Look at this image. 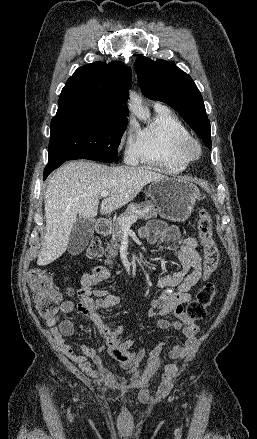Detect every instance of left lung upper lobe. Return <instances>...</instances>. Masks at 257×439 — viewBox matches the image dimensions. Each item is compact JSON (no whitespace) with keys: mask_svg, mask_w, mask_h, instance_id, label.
<instances>
[{"mask_svg":"<svg viewBox=\"0 0 257 439\" xmlns=\"http://www.w3.org/2000/svg\"><path fill=\"white\" fill-rule=\"evenodd\" d=\"M135 69L143 94L173 107L211 148L209 120L200 91L192 78L173 62L153 61L146 57L136 59Z\"/></svg>","mask_w":257,"mask_h":439,"instance_id":"obj_1","label":"left lung upper lobe"}]
</instances>
